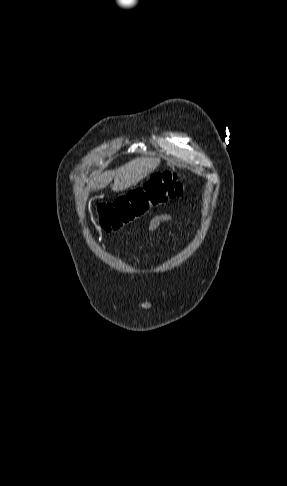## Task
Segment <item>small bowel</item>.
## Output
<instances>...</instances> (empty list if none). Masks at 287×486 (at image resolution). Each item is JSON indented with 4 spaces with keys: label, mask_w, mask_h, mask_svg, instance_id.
Returning a JSON list of instances; mask_svg holds the SVG:
<instances>
[{
    "label": "small bowel",
    "mask_w": 287,
    "mask_h": 486,
    "mask_svg": "<svg viewBox=\"0 0 287 486\" xmlns=\"http://www.w3.org/2000/svg\"><path fill=\"white\" fill-rule=\"evenodd\" d=\"M171 221H173V216L171 214H159L150 220L147 229L149 232H154L158 230L164 223H169Z\"/></svg>",
    "instance_id": "small-bowel-1"
}]
</instances>
